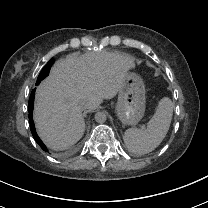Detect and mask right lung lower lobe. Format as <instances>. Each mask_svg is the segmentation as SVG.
<instances>
[{
  "label": "right lung lower lobe",
  "instance_id": "98d812e1",
  "mask_svg": "<svg viewBox=\"0 0 208 208\" xmlns=\"http://www.w3.org/2000/svg\"><path fill=\"white\" fill-rule=\"evenodd\" d=\"M54 63V60L51 59L46 65H45V75L47 76L49 74L50 68L52 66V64ZM45 76V77H46ZM40 83V82H39ZM38 83V84H39ZM37 84V85H38ZM34 97H35V89L32 90V93L30 95V99H29V121H30V129H31V133L35 139V141L38 143V145L44 150V151H48L47 147L43 144V142L41 141V139L38 137L36 130H35V126H34V122L32 119V113H33V107H34Z\"/></svg>",
  "mask_w": 208,
  "mask_h": 208
}]
</instances>
